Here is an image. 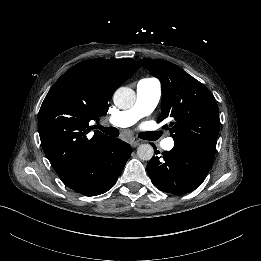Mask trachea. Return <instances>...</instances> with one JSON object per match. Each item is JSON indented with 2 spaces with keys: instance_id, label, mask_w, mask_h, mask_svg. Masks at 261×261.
Instances as JSON below:
<instances>
[{
  "instance_id": "1",
  "label": "trachea",
  "mask_w": 261,
  "mask_h": 261,
  "mask_svg": "<svg viewBox=\"0 0 261 261\" xmlns=\"http://www.w3.org/2000/svg\"><path fill=\"white\" fill-rule=\"evenodd\" d=\"M96 129H100L102 132H104L107 135H110L112 137H118L119 136V130L115 127H102L100 125L96 126ZM141 138H143V134L140 135Z\"/></svg>"
}]
</instances>
